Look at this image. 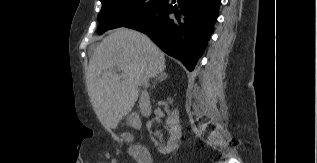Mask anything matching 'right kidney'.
<instances>
[{"mask_svg":"<svg viewBox=\"0 0 317 163\" xmlns=\"http://www.w3.org/2000/svg\"><path fill=\"white\" fill-rule=\"evenodd\" d=\"M179 123V111L175 109L166 120V124L170 127V138L167 146L158 148L160 153L169 154L178 148V143L181 139V127Z\"/></svg>","mask_w":317,"mask_h":163,"instance_id":"obj_1","label":"right kidney"}]
</instances>
